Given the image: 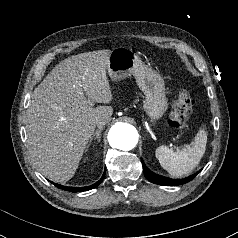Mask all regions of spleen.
I'll use <instances>...</instances> for the list:
<instances>
[{
    "mask_svg": "<svg viewBox=\"0 0 238 238\" xmlns=\"http://www.w3.org/2000/svg\"><path fill=\"white\" fill-rule=\"evenodd\" d=\"M207 144V132L201 128L192 147L174 151L167 146L156 149L155 155L160 165L173 177L189 175L200 163Z\"/></svg>",
    "mask_w": 238,
    "mask_h": 238,
    "instance_id": "3e777b00",
    "label": "spleen"
}]
</instances>
